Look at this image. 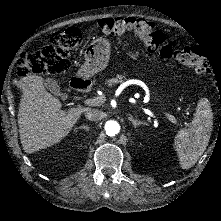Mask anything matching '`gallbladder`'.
<instances>
[{
  "instance_id": "gallbladder-1",
  "label": "gallbladder",
  "mask_w": 221,
  "mask_h": 221,
  "mask_svg": "<svg viewBox=\"0 0 221 221\" xmlns=\"http://www.w3.org/2000/svg\"><path fill=\"white\" fill-rule=\"evenodd\" d=\"M44 87L55 96H62L60 87L57 81L53 78L47 77L43 80Z\"/></svg>"
}]
</instances>
